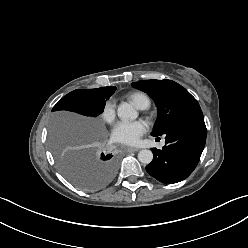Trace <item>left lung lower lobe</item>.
Here are the masks:
<instances>
[{"instance_id":"obj_1","label":"left lung lower lobe","mask_w":248,"mask_h":248,"mask_svg":"<svg viewBox=\"0 0 248 248\" xmlns=\"http://www.w3.org/2000/svg\"><path fill=\"white\" fill-rule=\"evenodd\" d=\"M164 136L165 146L152 149L153 160L146 170L162 183H177L193 172L204 149L207 129L202 111L184 117Z\"/></svg>"}]
</instances>
